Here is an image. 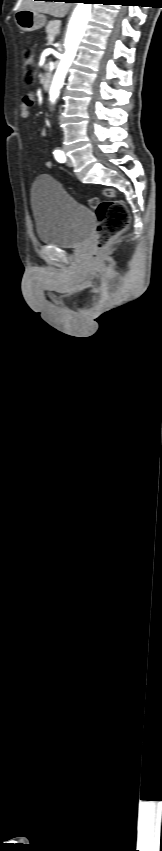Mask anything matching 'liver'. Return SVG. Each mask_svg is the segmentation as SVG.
I'll return each instance as SVG.
<instances>
[{
	"label": "liver",
	"instance_id": "6515ba94",
	"mask_svg": "<svg viewBox=\"0 0 162 851\" xmlns=\"http://www.w3.org/2000/svg\"><path fill=\"white\" fill-rule=\"evenodd\" d=\"M18 8L19 10L27 9L37 13H45L54 17L62 18L67 14L70 4L55 1L19 0Z\"/></svg>",
	"mask_w": 162,
	"mask_h": 851
}]
</instances>
